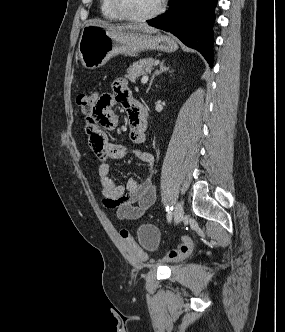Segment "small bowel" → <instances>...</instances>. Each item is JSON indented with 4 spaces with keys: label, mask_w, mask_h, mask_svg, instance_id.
<instances>
[{
    "label": "small bowel",
    "mask_w": 285,
    "mask_h": 332,
    "mask_svg": "<svg viewBox=\"0 0 285 332\" xmlns=\"http://www.w3.org/2000/svg\"><path fill=\"white\" fill-rule=\"evenodd\" d=\"M112 88L113 93L95 96L91 111H85L86 133L95 156L102 160L98 167V174L104 205L109 209H116V215L120 220H135L155 203V184L150 177L142 182L131 177L125 186L119 185L111 175L109 161L132 155L151 170L154 157L146 151L111 143L101 131L113 130L117 126L119 118L113 112V107L120 104L128 115L130 141L138 145L145 140L147 121L143 116L142 105L132 98L124 79H116Z\"/></svg>",
    "instance_id": "small-bowel-1"
}]
</instances>
